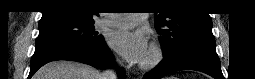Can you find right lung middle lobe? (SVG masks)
<instances>
[{
  "instance_id": "obj_1",
  "label": "right lung middle lobe",
  "mask_w": 255,
  "mask_h": 79,
  "mask_svg": "<svg viewBox=\"0 0 255 79\" xmlns=\"http://www.w3.org/2000/svg\"><path fill=\"white\" fill-rule=\"evenodd\" d=\"M94 21L74 17H61L40 20L39 35L35 45L47 42H66L71 44H95L102 37L94 32Z\"/></svg>"
}]
</instances>
